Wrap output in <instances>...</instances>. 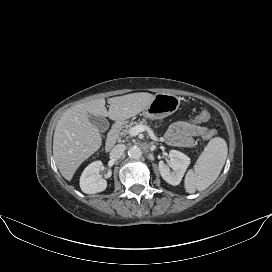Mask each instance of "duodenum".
<instances>
[{
	"mask_svg": "<svg viewBox=\"0 0 272 272\" xmlns=\"http://www.w3.org/2000/svg\"><path fill=\"white\" fill-rule=\"evenodd\" d=\"M122 128L121 122H115L107 136L105 143V151H110L117 143L119 132Z\"/></svg>",
	"mask_w": 272,
	"mask_h": 272,
	"instance_id": "obj_1",
	"label": "duodenum"
}]
</instances>
